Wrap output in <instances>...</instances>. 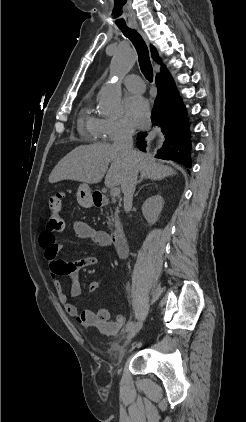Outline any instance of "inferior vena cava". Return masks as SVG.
I'll return each instance as SVG.
<instances>
[{
    "mask_svg": "<svg viewBox=\"0 0 246 422\" xmlns=\"http://www.w3.org/2000/svg\"><path fill=\"white\" fill-rule=\"evenodd\" d=\"M133 134L134 130L131 127L123 126L114 140V146L120 150L121 154L126 157L128 162V172L122 185L124 209L126 212L129 211L132 205L138 174L135 164L136 151L133 149Z\"/></svg>",
    "mask_w": 246,
    "mask_h": 422,
    "instance_id": "1",
    "label": "inferior vena cava"
}]
</instances>
